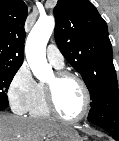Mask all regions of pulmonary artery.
Segmentation results:
<instances>
[{"mask_svg": "<svg viewBox=\"0 0 119 141\" xmlns=\"http://www.w3.org/2000/svg\"><path fill=\"white\" fill-rule=\"evenodd\" d=\"M46 57L54 67L62 68L64 66V57L55 45L50 44L47 47Z\"/></svg>", "mask_w": 119, "mask_h": 141, "instance_id": "e3ab8cb5", "label": "pulmonary artery"}]
</instances>
